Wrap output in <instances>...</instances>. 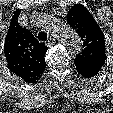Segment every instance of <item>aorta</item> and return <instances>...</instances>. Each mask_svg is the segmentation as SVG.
I'll use <instances>...</instances> for the list:
<instances>
[{
	"label": "aorta",
	"mask_w": 113,
	"mask_h": 113,
	"mask_svg": "<svg viewBox=\"0 0 113 113\" xmlns=\"http://www.w3.org/2000/svg\"><path fill=\"white\" fill-rule=\"evenodd\" d=\"M47 27L59 39V41L71 52H79L82 41L79 35L68 24L53 17L47 18Z\"/></svg>",
	"instance_id": "762f6f07"
}]
</instances>
